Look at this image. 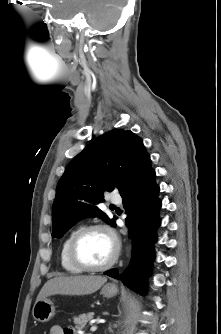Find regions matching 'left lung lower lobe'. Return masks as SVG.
Returning <instances> with one entry per match:
<instances>
[{
	"label": "left lung lower lobe",
	"instance_id": "1",
	"mask_svg": "<svg viewBox=\"0 0 221 334\" xmlns=\"http://www.w3.org/2000/svg\"><path fill=\"white\" fill-rule=\"evenodd\" d=\"M159 190V186L155 183V171L149 162L120 194L127 214L129 234L133 240L132 262L121 276V280L140 294L145 291V281L151 270V262L155 258L152 248L157 237L156 229L161 223L158 217V210L161 208V200L158 199ZM135 256L138 260L136 265L132 266ZM105 274L120 279L116 269L109 270Z\"/></svg>",
	"mask_w": 221,
	"mask_h": 334
}]
</instances>
